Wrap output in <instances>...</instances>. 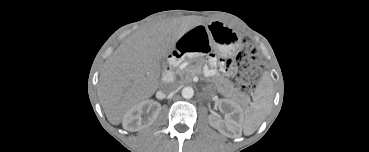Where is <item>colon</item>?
Segmentation results:
<instances>
[{
    "label": "colon",
    "instance_id": "5ec220e1",
    "mask_svg": "<svg viewBox=\"0 0 369 152\" xmlns=\"http://www.w3.org/2000/svg\"><path fill=\"white\" fill-rule=\"evenodd\" d=\"M216 63L217 60L212 58L211 65H216ZM220 63L226 69L232 66L240 69L237 80L241 88L245 91L253 89L263 74V63L258 58L255 48L249 43L243 45L235 61L227 60Z\"/></svg>",
    "mask_w": 369,
    "mask_h": 152
}]
</instances>
